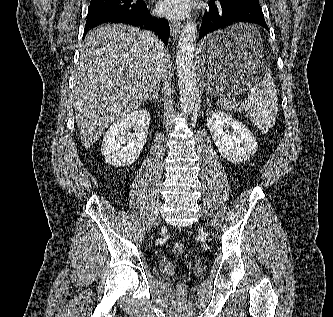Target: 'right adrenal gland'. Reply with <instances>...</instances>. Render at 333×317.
I'll return each mask as SVG.
<instances>
[{
    "label": "right adrenal gland",
    "mask_w": 333,
    "mask_h": 317,
    "mask_svg": "<svg viewBox=\"0 0 333 317\" xmlns=\"http://www.w3.org/2000/svg\"><path fill=\"white\" fill-rule=\"evenodd\" d=\"M158 95H159V87H157V88L153 91V95H152V96L150 95V96L147 98V100L155 99V100L159 101V97H158Z\"/></svg>",
    "instance_id": "right-adrenal-gland-1"
}]
</instances>
